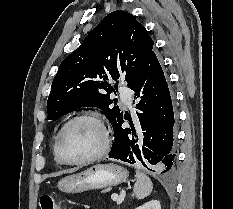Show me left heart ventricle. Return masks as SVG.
<instances>
[{
  "label": "left heart ventricle",
  "instance_id": "b2bd125f",
  "mask_svg": "<svg viewBox=\"0 0 233 209\" xmlns=\"http://www.w3.org/2000/svg\"><path fill=\"white\" fill-rule=\"evenodd\" d=\"M102 141V131L95 122L80 120L65 131L61 141V153L69 160L81 159L98 151Z\"/></svg>",
  "mask_w": 233,
  "mask_h": 209
}]
</instances>
